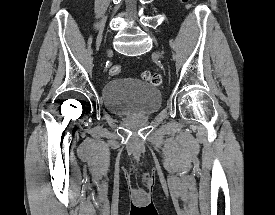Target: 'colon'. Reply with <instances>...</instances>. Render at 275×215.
<instances>
[{
    "instance_id": "colon-1",
    "label": "colon",
    "mask_w": 275,
    "mask_h": 215,
    "mask_svg": "<svg viewBox=\"0 0 275 215\" xmlns=\"http://www.w3.org/2000/svg\"><path fill=\"white\" fill-rule=\"evenodd\" d=\"M183 2H187L186 0H183ZM121 72V68L119 65H112L109 68V75L114 77L119 75ZM142 78L146 81H148L153 86H158L161 83V76L158 73L150 72V71H144L142 73Z\"/></svg>"
}]
</instances>
